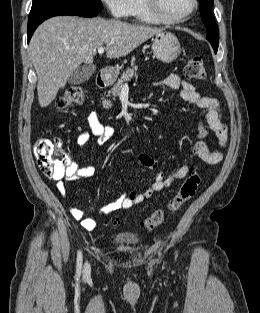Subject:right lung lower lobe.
I'll return each mask as SVG.
<instances>
[{"instance_id":"98d812e1","label":"right lung lower lobe","mask_w":260,"mask_h":313,"mask_svg":"<svg viewBox=\"0 0 260 313\" xmlns=\"http://www.w3.org/2000/svg\"><path fill=\"white\" fill-rule=\"evenodd\" d=\"M98 12L77 10V9H61V8H41L31 10L28 18V42L30 41L35 29L46 19L59 16H81V17H94Z\"/></svg>"}]
</instances>
